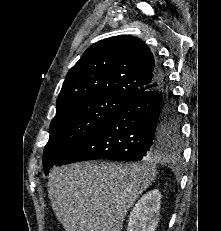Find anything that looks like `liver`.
Masks as SVG:
<instances>
[{
	"mask_svg": "<svg viewBox=\"0 0 221 231\" xmlns=\"http://www.w3.org/2000/svg\"><path fill=\"white\" fill-rule=\"evenodd\" d=\"M84 162L55 167L49 175L52 208L65 231H121L129 208L154 181L152 161Z\"/></svg>",
	"mask_w": 221,
	"mask_h": 231,
	"instance_id": "liver-1",
	"label": "liver"
}]
</instances>
